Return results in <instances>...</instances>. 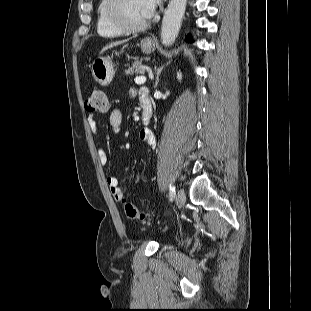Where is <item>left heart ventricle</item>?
<instances>
[{
  "mask_svg": "<svg viewBox=\"0 0 311 311\" xmlns=\"http://www.w3.org/2000/svg\"><path fill=\"white\" fill-rule=\"evenodd\" d=\"M121 13L123 19L130 25H140L148 20L141 0H123Z\"/></svg>",
  "mask_w": 311,
  "mask_h": 311,
  "instance_id": "obj_1",
  "label": "left heart ventricle"
}]
</instances>
